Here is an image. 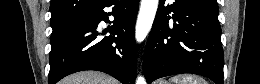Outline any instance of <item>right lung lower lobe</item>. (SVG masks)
Here are the masks:
<instances>
[{
    "label": "right lung lower lobe",
    "instance_id": "right-lung-lower-lobe-1",
    "mask_svg": "<svg viewBox=\"0 0 260 84\" xmlns=\"http://www.w3.org/2000/svg\"><path fill=\"white\" fill-rule=\"evenodd\" d=\"M139 0H102L80 20L73 23L55 41L49 57L48 83L55 84L63 77L84 70H97L110 74L123 84H134L137 50L134 39ZM111 7L114 21L110 36L101 38L98 24L109 22ZM105 34V33H103Z\"/></svg>",
    "mask_w": 260,
    "mask_h": 84
}]
</instances>
